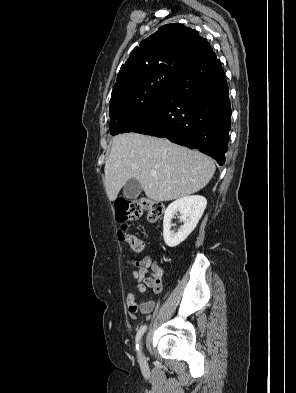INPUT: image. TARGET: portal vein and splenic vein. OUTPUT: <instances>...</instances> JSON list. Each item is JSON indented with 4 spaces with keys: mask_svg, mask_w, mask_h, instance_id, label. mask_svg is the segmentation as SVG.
Returning <instances> with one entry per match:
<instances>
[{
    "mask_svg": "<svg viewBox=\"0 0 296 393\" xmlns=\"http://www.w3.org/2000/svg\"><path fill=\"white\" fill-rule=\"evenodd\" d=\"M151 175L153 176V177H156V172H151Z\"/></svg>",
    "mask_w": 296,
    "mask_h": 393,
    "instance_id": "1",
    "label": "portal vein and splenic vein"
}]
</instances>
